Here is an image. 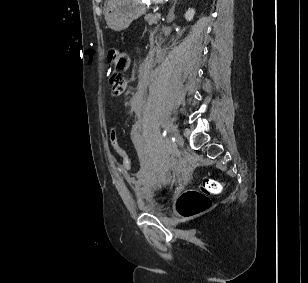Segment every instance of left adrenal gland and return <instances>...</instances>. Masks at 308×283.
<instances>
[{"label": "left adrenal gland", "mask_w": 308, "mask_h": 283, "mask_svg": "<svg viewBox=\"0 0 308 283\" xmlns=\"http://www.w3.org/2000/svg\"><path fill=\"white\" fill-rule=\"evenodd\" d=\"M178 0H174L173 6L171 7L168 17H167V22L170 23L175 19V15H174V9H175V5L177 3Z\"/></svg>", "instance_id": "a2214340"}]
</instances>
